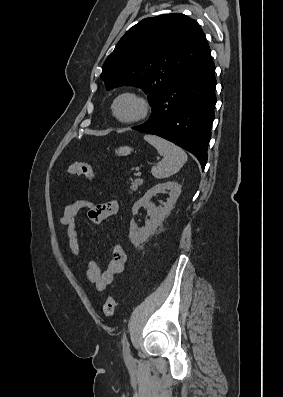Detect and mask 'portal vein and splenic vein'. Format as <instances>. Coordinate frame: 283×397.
<instances>
[{
  "label": "portal vein and splenic vein",
  "mask_w": 283,
  "mask_h": 397,
  "mask_svg": "<svg viewBox=\"0 0 283 397\" xmlns=\"http://www.w3.org/2000/svg\"><path fill=\"white\" fill-rule=\"evenodd\" d=\"M142 175V173L139 171L136 173V176L140 177Z\"/></svg>",
  "instance_id": "18ae733b"
}]
</instances>
